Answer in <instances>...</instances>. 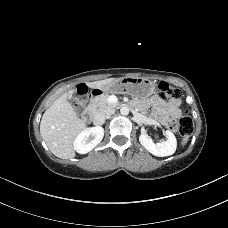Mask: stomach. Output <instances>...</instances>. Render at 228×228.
<instances>
[{
  "label": "stomach",
  "mask_w": 228,
  "mask_h": 228,
  "mask_svg": "<svg viewBox=\"0 0 228 228\" xmlns=\"http://www.w3.org/2000/svg\"><path fill=\"white\" fill-rule=\"evenodd\" d=\"M155 84L147 78L121 77L100 88H95L94 98L108 94H128L147 98L154 93Z\"/></svg>",
  "instance_id": "0dacf381"
}]
</instances>
